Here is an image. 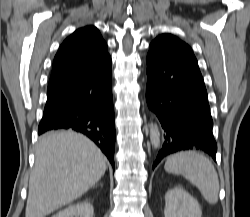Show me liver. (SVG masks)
<instances>
[{
	"mask_svg": "<svg viewBox=\"0 0 250 217\" xmlns=\"http://www.w3.org/2000/svg\"><path fill=\"white\" fill-rule=\"evenodd\" d=\"M106 171V159L87 137L72 131L43 135L35 151L25 217H45L71 203Z\"/></svg>",
	"mask_w": 250,
	"mask_h": 217,
	"instance_id": "1",
	"label": "liver"
}]
</instances>
